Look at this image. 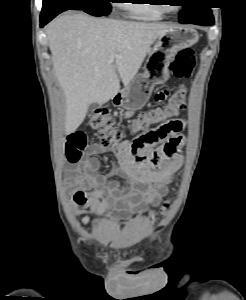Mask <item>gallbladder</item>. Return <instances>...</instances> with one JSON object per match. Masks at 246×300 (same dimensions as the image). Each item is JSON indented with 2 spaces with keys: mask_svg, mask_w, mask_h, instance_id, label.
Listing matches in <instances>:
<instances>
[{
  "mask_svg": "<svg viewBox=\"0 0 246 300\" xmlns=\"http://www.w3.org/2000/svg\"><path fill=\"white\" fill-rule=\"evenodd\" d=\"M98 107V105L96 103H92L89 105V110L93 111L94 109H96Z\"/></svg>",
  "mask_w": 246,
  "mask_h": 300,
  "instance_id": "obj_1",
  "label": "gallbladder"
}]
</instances>
